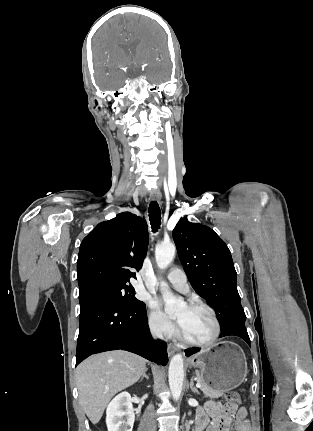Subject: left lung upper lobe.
Here are the masks:
<instances>
[{
    "instance_id": "5c2ea615",
    "label": "left lung upper lobe",
    "mask_w": 313,
    "mask_h": 431,
    "mask_svg": "<svg viewBox=\"0 0 313 431\" xmlns=\"http://www.w3.org/2000/svg\"><path fill=\"white\" fill-rule=\"evenodd\" d=\"M173 239L187 277L198 295L215 310L221 330L244 323L237 273L230 250L209 227L181 218Z\"/></svg>"
}]
</instances>
